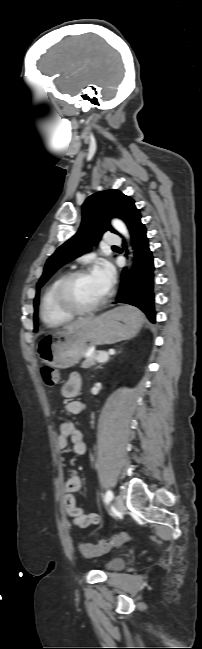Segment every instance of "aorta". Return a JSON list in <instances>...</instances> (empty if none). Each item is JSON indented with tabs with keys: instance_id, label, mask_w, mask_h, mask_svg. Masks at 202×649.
Here are the masks:
<instances>
[{
	"instance_id": "762f6f07",
	"label": "aorta",
	"mask_w": 202,
	"mask_h": 649,
	"mask_svg": "<svg viewBox=\"0 0 202 649\" xmlns=\"http://www.w3.org/2000/svg\"><path fill=\"white\" fill-rule=\"evenodd\" d=\"M112 225H113V227H114L118 232H120V233L123 234L124 236L128 237V231H127V228H126L125 224H124L121 220H119V219H114V220L112 221Z\"/></svg>"
}]
</instances>
